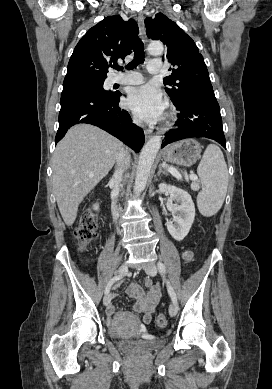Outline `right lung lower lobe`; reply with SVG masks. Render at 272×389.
<instances>
[{
  "label": "right lung lower lobe",
  "mask_w": 272,
  "mask_h": 389,
  "mask_svg": "<svg viewBox=\"0 0 272 389\" xmlns=\"http://www.w3.org/2000/svg\"><path fill=\"white\" fill-rule=\"evenodd\" d=\"M120 96L121 93L103 94L84 89L63 90L55 143L64 137L71 126L89 123L139 152L145 141L143 130L131 122L127 111L118 107Z\"/></svg>",
  "instance_id": "98d812e1"
}]
</instances>
